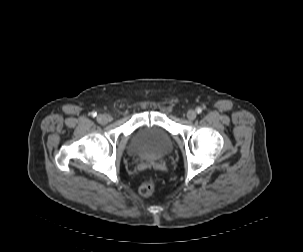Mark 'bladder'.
Listing matches in <instances>:
<instances>
[{"mask_svg":"<svg viewBox=\"0 0 303 252\" xmlns=\"http://www.w3.org/2000/svg\"><path fill=\"white\" fill-rule=\"evenodd\" d=\"M173 149V139L161 127H144L139 130L127 145L129 156L153 160L168 154Z\"/></svg>","mask_w":303,"mask_h":252,"instance_id":"bladder-1","label":"bladder"}]
</instances>
